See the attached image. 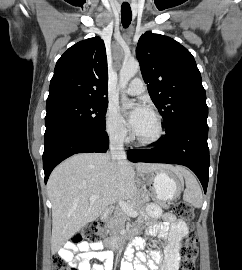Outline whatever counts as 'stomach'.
Here are the masks:
<instances>
[{
  "label": "stomach",
  "mask_w": 242,
  "mask_h": 270,
  "mask_svg": "<svg viewBox=\"0 0 242 270\" xmlns=\"http://www.w3.org/2000/svg\"><path fill=\"white\" fill-rule=\"evenodd\" d=\"M147 181L152 184L153 193L160 201L176 199L183 188L182 176L176 169L171 168L151 172L147 176Z\"/></svg>",
  "instance_id": "stomach-1"
}]
</instances>
